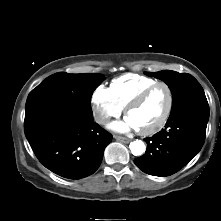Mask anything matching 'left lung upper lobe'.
<instances>
[{
  "label": "left lung upper lobe",
  "instance_id": "obj_1",
  "mask_svg": "<svg viewBox=\"0 0 221 221\" xmlns=\"http://www.w3.org/2000/svg\"><path fill=\"white\" fill-rule=\"evenodd\" d=\"M144 74L161 79L168 85L172 92V110L191 98L205 95L201 85L190 74L170 70Z\"/></svg>",
  "mask_w": 221,
  "mask_h": 221
}]
</instances>
